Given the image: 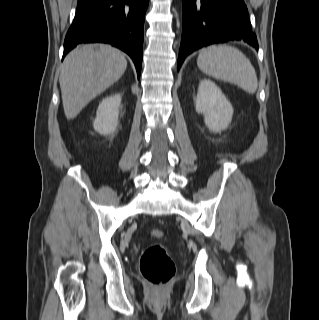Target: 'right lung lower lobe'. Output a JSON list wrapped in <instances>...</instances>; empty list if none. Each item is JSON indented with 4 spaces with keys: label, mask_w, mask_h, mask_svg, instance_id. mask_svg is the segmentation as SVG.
Instances as JSON below:
<instances>
[{
    "label": "right lung lower lobe",
    "mask_w": 319,
    "mask_h": 320,
    "mask_svg": "<svg viewBox=\"0 0 319 320\" xmlns=\"http://www.w3.org/2000/svg\"><path fill=\"white\" fill-rule=\"evenodd\" d=\"M149 0H78L64 41V56L79 43H109L142 65L143 27Z\"/></svg>",
    "instance_id": "98d812e1"
}]
</instances>
